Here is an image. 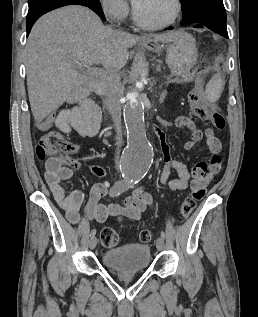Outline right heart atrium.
Listing matches in <instances>:
<instances>
[{"instance_id": "1", "label": "right heart atrium", "mask_w": 258, "mask_h": 317, "mask_svg": "<svg viewBox=\"0 0 258 317\" xmlns=\"http://www.w3.org/2000/svg\"><path fill=\"white\" fill-rule=\"evenodd\" d=\"M101 8L108 19L120 23L127 19L130 12L126 0H102Z\"/></svg>"}]
</instances>
